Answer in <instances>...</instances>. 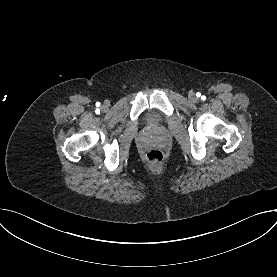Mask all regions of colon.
I'll list each match as a JSON object with an SVG mask.
<instances>
[{"label": "colon", "instance_id": "5ec220e1", "mask_svg": "<svg viewBox=\"0 0 277 277\" xmlns=\"http://www.w3.org/2000/svg\"><path fill=\"white\" fill-rule=\"evenodd\" d=\"M164 159L163 153L158 149H152L147 152L146 160L152 165H160Z\"/></svg>", "mask_w": 277, "mask_h": 277}]
</instances>
